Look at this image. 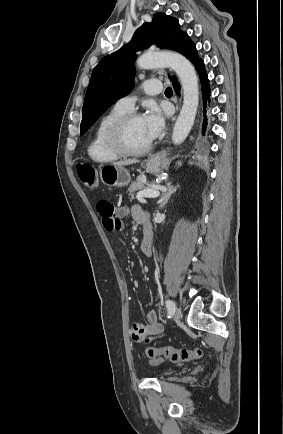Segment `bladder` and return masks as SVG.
<instances>
[{"label":"bladder","instance_id":"obj_1","mask_svg":"<svg viewBox=\"0 0 283 434\" xmlns=\"http://www.w3.org/2000/svg\"><path fill=\"white\" fill-rule=\"evenodd\" d=\"M169 374H170V372H165V373L162 374V376L165 377V376H167Z\"/></svg>","mask_w":283,"mask_h":434}]
</instances>
